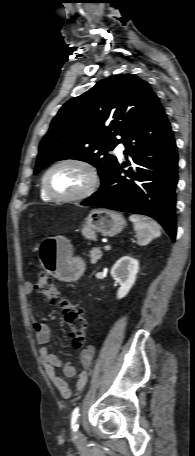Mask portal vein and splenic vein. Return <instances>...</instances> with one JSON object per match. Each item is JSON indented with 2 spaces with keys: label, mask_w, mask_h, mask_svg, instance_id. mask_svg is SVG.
Segmentation results:
<instances>
[{
  "label": "portal vein and splenic vein",
  "mask_w": 195,
  "mask_h": 456,
  "mask_svg": "<svg viewBox=\"0 0 195 456\" xmlns=\"http://www.w3.org/2000/svg\"><path fill=\"white\" fill-rule=\"evenodd\" d=\"M110 249H111L110 245L104 246V250L108 251V250H110Z\"/></svg>",
  "instance_id": "1"
}]
</instances>
